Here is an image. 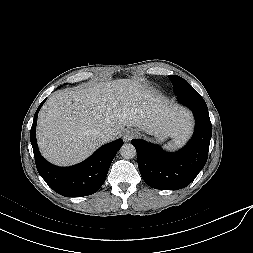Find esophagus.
Wrapping results in <instances>:
<instances>
[{"instance_id": "esophagus-1", "label": "esophagus", "mask_w": 253, "mask_h": 253, "mask_svg": "<svg viewBox=\"0 0 253 253\" xmlns=\"http://www.w3.org/2000/svg\"><path fill=\"white\" fill-rule=\"evenodd\" d=\"M138 136V132L135 129H128L123 133V139L127 142L131 141Z\"/></svg>"}]
</instances>
